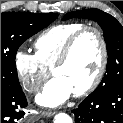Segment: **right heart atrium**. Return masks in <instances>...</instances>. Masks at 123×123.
Wrapping results in <instances>:
<instances>
[{"instance_id": "obj_1", "label": "right heart atrium", "mask_w": 123, "mask_h": 123, "mask_svg": "<svg viewBox=\"0 0 123 123\" xmlns=\"http://www.w3.org/2000/svg\"><path fill=\"white\" fill-rule=\"evenodd\" d=\"M14 67L22 86L30 93L36 92L50 73L35 54L22 49L15 52Z\"/></svg>"}]
</instances>
